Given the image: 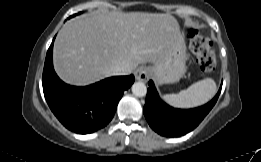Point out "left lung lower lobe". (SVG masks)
I'll use <instances>...</instances> for the list:
<instances>
[{
	"instance_id": "left-lung-lower-lobe-1",
	"label": "left lung lower lobe",
	"mask_w": 261,
	"mask_h": 162,
	"mask_svg": "<svg viewBox=\"0 0 261 162\" xmlns=\"http://www.w3.org/2000/svg\"><path fill=\"white\" fill-rule=\"evenodd\" d=\"M222 87V85H221ZM221 87L216 96L207 104L193 109H176L164 103L149 81L144 115L150 127L164 137H179L194 130L215 105Z\"/></svg>"
}]
</instances>
